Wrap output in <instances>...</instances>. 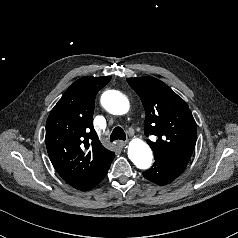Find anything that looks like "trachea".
<instances>
[{
	"label": "trachea",
	"instance_id": "3493384b",
	"mask_svg": "<svg viewBox=\"0 0 238 238\" xmlns=\"http://www.w3.org/2000/svg\"><path fill=\"white\" fill-rule=\"evenodd\" d=\"M126 140V134L124 130L121 127H116L112 131L110 135V141H115V140Z\"/></svg>",
	"mask_w": 238,
	"mask_h": 238
}]
</instances>
